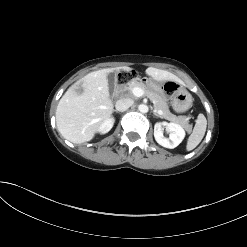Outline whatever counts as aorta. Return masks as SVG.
Segmentation results:
<instances>
[{"mask_svg": "<svg viewBox=\"0 0 247 247\" xmlns=\"http://www.w3.org/2000/svg\"><path fill=\"white\" fill-rule=\"evenodd\" d=\"M138 110H139L141 113H147L148 110H149V108H148V106L145 105V104H140V105L138 106Z\"/></svg>", "mask_w": 247, "mask_h": 247, "instance_id": "obj_1", "label": "aorta"}]
</instances>
